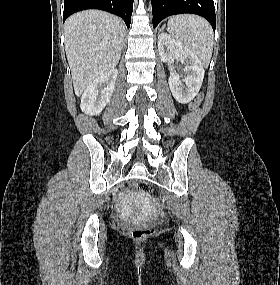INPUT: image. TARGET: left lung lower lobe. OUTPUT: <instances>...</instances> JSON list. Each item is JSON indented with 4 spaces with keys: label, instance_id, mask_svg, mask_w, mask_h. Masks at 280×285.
Segmentation results:
<instances>
[{
    "label": "left lung lower lobe",
    "instance_id": "1",
    "mask_svg": "<svg viewBox=\"0 0 280 285\" xmlns=\"http://www.w3.org/2000/svg\"><path fill=\"white\" fill-rule=\"evenodd\" d=\"M153 27L170 15L192 13L206 18L215 32V9L213 0H151Z\"/></svg>",
    "mask_w": 280,
    "mask_h": 285
}]
</instances>
